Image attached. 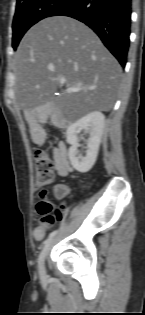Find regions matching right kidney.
<instances>
[{
  "label": "right kidney",
  "instance_id": "ca27d5eb",
  "mask_svg": "<svg viewBox=\"0 0 145 315\" xmlns=\"http://www.w3.org/2000/svg\"><path fill=\"white\" fill-rule=\"evenodd\" d=\"M105 125V116L99 111H93L75 123L71 124L66 131L67 143L71 145L69 148V159L71 165L80 173L88 172L96 162L101 137ZM90 133L87 139V151L83 157L78 153L77 135L82 131Z\"/></svg>",
  "mask_w": 145,
  "mask_h": 315
}]
</instances>
